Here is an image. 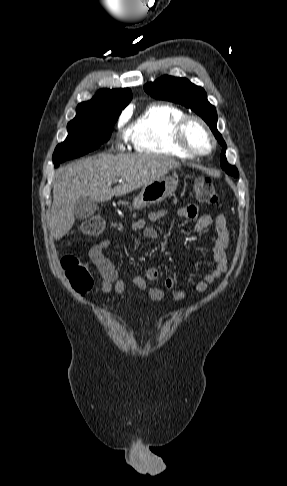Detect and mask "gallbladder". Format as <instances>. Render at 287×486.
Masks as SVG:
<instances>
[{"label": "gallbladder", "instance_id": "bac80fb5", "mask_svg": "<svg viewBox=\"0 0 287 486\" xmlns=\"http://www.w3.org/2000/svg\"><path fill=\"white\" fill-rule=\"evenodd\" d=\"M97 202L89 197L81 196L75 203L74 215L78 220H84L94 215L97 211Z\"/></svg>", "mask_w": 287, "mask_h": 486}]
</instances>
